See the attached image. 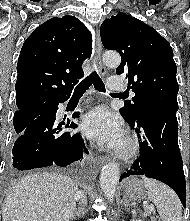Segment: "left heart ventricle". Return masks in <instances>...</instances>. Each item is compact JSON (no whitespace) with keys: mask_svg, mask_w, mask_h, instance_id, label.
Here are the masks:
<instances>
[{"mask_svg":"<svg viewBox=\"0 0 190 221\" xmlns=\"http://www.w3.org/2000/svg\"><path fill=\"white\" fill-rule=\"evenodd\" d=\"M123 145H124V140H123V142L121 143V145L118 148L123 147Z\"/></svg>","mask_w":190,"mask_h":221,"instance_id":"left-heart-ventricle-1","label":"left heart ventricle"}]
</instances>
